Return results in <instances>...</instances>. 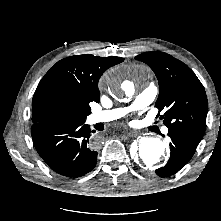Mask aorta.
Instances as JSON below:
<instances>
[{
	"instance_id": "762f6f07",
	"label": "aorta",
	"mask_w": 221,
	"mask_h": 221,
	"mask_svg": "<svg viewBox=\"0 0 221 221\" xmlns=\"http://www.w3.org/2000/svg\"><path fill=\"white\" fill-rule=\"evenodd\" d=\"M107 87L113 91L120 84L116 78L108 77L106 79ZM121 89L127 96L134 94V86L131 82L125 81L121 84ZM166 155V144L159 138L145 137L138 141L137 150L133 153V158L140 165L147 168H152L159 162L163 161Z\"/></svg>"
}]
</instances>
